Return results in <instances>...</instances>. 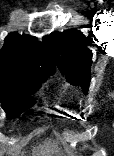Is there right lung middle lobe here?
I'll list each match as a JSON object with an SVG mask.
<instances>
[{
    "label": "right lung middle lobe",
    "instance_id": "1",
    "mask_svg": "<svg viewBox=\"0 0 114 156\" xmlns=\"http://www.w3.org/2000/svg\"><path fill=\"white\" fill-rule=\"evenodd\" d=\"M48 76L0 79V100L7 117H16L35 104L31 97Z\"/></svg>",
    "mask_w": 114,
    "mask_h": 156
}]
</instances>
